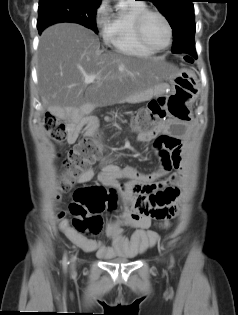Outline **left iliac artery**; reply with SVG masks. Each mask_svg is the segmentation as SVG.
Listing matches in <instances>:
<instances>
[{
  "instance_id": "1",
  "label": "left iliac artery",
  "mask_w": 238,
  "mask_h": 315,
  "mask_svg": "<svg viewBox=\"0 0 238 315\" xmlns=\"http://www.w3.org/2000/svg\"><path fill=\"white\" fill-rule=\"evenodd\" d=\"M171 263L173 264L174 263V259H173V257L171 256Z\"/></svg>"
}]
</instances>
